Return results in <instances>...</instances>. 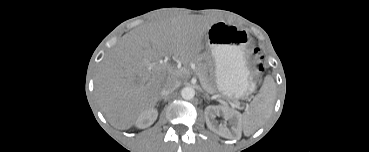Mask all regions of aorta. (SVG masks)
<instances>
[{
  "mask_svg": "<svg viewBox=\"0 0 369 152\" xmlns=\"http://www.w3.org/2000/svg\"><path fill=\"white\" fill-rule=\"evenodd\" d=\"M181 96L185 100H191L195 96V90L192 87H184L181 90Z\"/></svg>",
  "mask_w": 369,
  "mask_h": 152,
  "instance_id": "aorta-1",
  "label": "aorta"
}]
</instances>
